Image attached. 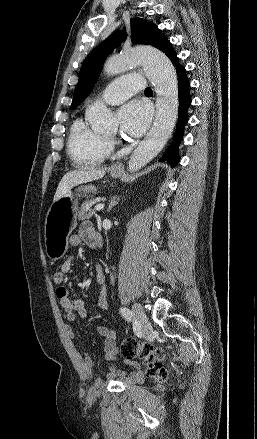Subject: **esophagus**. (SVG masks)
<instances>
[{
	"label": "esophagus",
	"mask_w": 257,
	"mask_h": 439,
	"mask_svg": "<svg viewBox=\"0 0 257 439\" xmlns=\"http://www.w3.org/2000/svg\"><path fill=\"white\" fill-rule=\"evenodd\" d=\"M111 169L115 171L123 170V164L121 162H117L111 167Z\"/></svg>",
	"instance_id": "esophagus-1"
}]
</instances>
